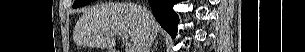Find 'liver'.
<instances>
[{
	"instance_id": "obj_1",
	"label": "liver",
	"mask_w": 305,
	"mask_h": 52,
	"mask_svg": "<svg viewBox=\"0 0 305 52\" xmlns=\"http://www.w3.org/2000/svg\"><path fill=\"white\" fill-rule=\"evenodd\" d=\"M150 29L154 36L161 31L155 18L150 15ZM76 30L93 46L112 48L115 36L125 34L134 42L135 49L146 30L139 6L132 3H108L86 10L76 24Z\"/></svg>"
}]
</instances>
